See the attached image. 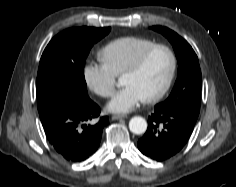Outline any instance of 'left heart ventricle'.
<instances>
[{
    "label": "left heart ventricle",
    "mask_w": 236,
    "mask_h": 187,
    "mask_svg": "<svg viewBox=\"0 0 236 187\" xmlns=\"http://www.w3.org/2000/svg\"><path fill=\"white\" fill-rule=\"evenodd\" d=\"M170 69V58L163 50H156L135 74L123 75L122 84L133 86L143 98L158 92L164 85Z\"/></svg>",
    "instance_id": "obj_1"
}]
</instances>
